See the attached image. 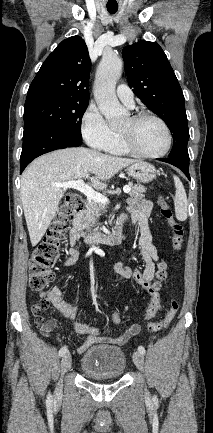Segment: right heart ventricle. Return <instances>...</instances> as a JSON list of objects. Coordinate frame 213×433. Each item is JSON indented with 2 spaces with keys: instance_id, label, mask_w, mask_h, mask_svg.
Here are the masks:
<instances>
[{
  "instance_id": "obj_1",
  "label": "right heart ventricle",
  "mask_w": 213,
  "mask_h": 433,
  "mask_svg": "<svg viewBox=\"0 0 213 433\" xmlns=\"http://www.w3.org/2000/svg\"><path fill=\"white\" fill-rule=\"evenodd\" d=\"M106 152L114 154V155H126L128 152L123 147L119 134L114 132L113 139L109 143V145L104 149Z\"/></svg>"
}]
</instances>
